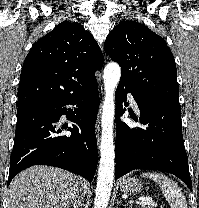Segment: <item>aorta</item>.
Listing matches in <instances>:
<instances>
[{
  "mask_svg": "<svg viewBox=\"0 0 199 208\" xmlns=\"http://www.w3.org/2000/svg\"><path fill=\"white\" fill-rule=\"evenodd\" d=\"M121 77V68L117 63L111 62L104 69L105 98L101 116V145L100 164L97 187L94 199V208H107L114 179V140L113 122L115 115L114 93Z\"/></svg>",
  "mask_w": 199,
  "mask_h": 208,
  "instance_id": "762f6f07",
  "label": "aorta"
}]
</instances>
